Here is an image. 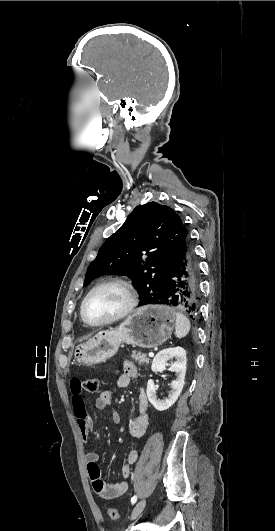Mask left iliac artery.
<instances>
[{"mask_svg":"<svg viewBox=\"0 0 275 531\" xmlns=\"http://www.w3.org/2000/svg\"><path fill=\"white\" fill-rule=\"evenodd\" d=\"M136 501H137V496L135 495V496H133V497L131 498V503H132V505L135 504Z\"/></svg>","mask_w":275,"mask_h":531,"instance_id":"1","label":"left iliac artery"}]
</instances>
